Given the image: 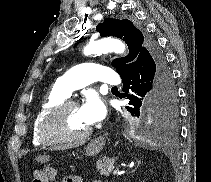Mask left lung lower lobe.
<instances>
[{"mask_svg":"<svg viewBox=\"0 0 211 182\" xmlns=\"http://www.w3.org/2000/svg\"><path fill=\"white\" fill-rule=\"evenodd\" d=\"M123 97L130 99L133 114L139 116L143 97L156 106L160 121L173 118L177 112V92L166 59L157 44H149L137 56L134 64L122 75Z\"/></svg>","mask_w":211,"mask_h":182,"instance_id":"1","label":"left lung lower lobe"}]
</instances>
